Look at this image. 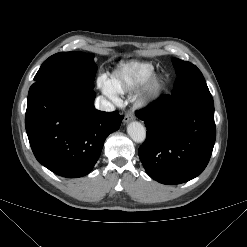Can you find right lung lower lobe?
I'll list each match as a JSON object with an SVG mask.
<instances>
[{"label":"right lung lower lobe","mask_w":247,"mask_h":247,"mask_svg":"<svg viewBox=\"0 0 247 247\" xmlns=\"http://www.w3.org/2000/svg\"><path fill=\"white\" fill-rule=\"evenodd\" d=\"M92 88L59 81L35 82L29 89L25 126L32 151L53 173L87 175L109 134L119 129L118 111L95 109Z\"/></svg>","instance_id":"right-lung-lower-lobe-1"}]
</instances>
